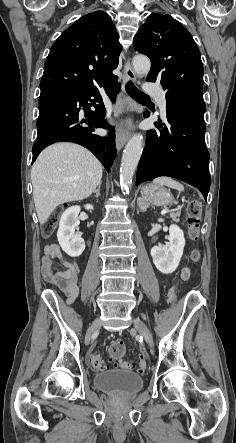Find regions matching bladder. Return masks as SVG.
Listing matches in <instances>:
<instances>
[{"mask_svg": "<svg viewBox=\"0 0 236 443\" xmlns=\"http://www.w3.org/2000/svg\"><path fill=\"white\" fill-rule=\"evenodd\" d=\"M143 384V377L128 369L103 371L94 378L98 390L120 395H131L139 391Z\"/></svg>", "mask_w": 236, "mask_h": 443, "instance_id": "1", "label": "bladder"}]
</instances>
